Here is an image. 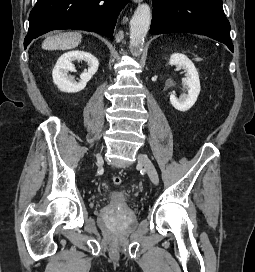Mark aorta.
I'll return each mask as SVG.
<instances>
[{"label":"aorta","instance_id":"obj_1","mask_svg":"<svg viewBox=\"0 0 255 272\" xmlns=\"http://www.w3.org/2000/svg\"><path fill=\"white\" fill-rule=\"evenodd\" d=\"M151 23V9L143 3L137 7L130 21V49L138 50L144 43Z\"/></svg>","mask_w":255,"mask_h":272}]
</instances>
